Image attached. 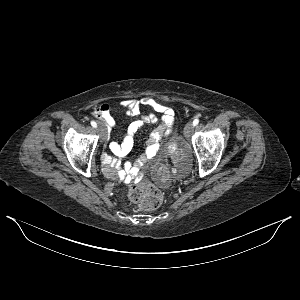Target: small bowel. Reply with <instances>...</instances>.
<instances>
[{"instance_id":"c3829d8e","label":"small bowel","mask_w":300,"mask_h":300,"mask_svg":"<svg viewBox=\"0 0 300 300\" xmlns=\"http://www.w3.org/2000/svg\"><path fill=\"white\" fill-rule=\"evenodd\" d=\"M118 106L126 111L127 114L138 117L141 107L146 106L154 112L139 116L133 120L128 128L126 135L121 143L111 141L109 148L118 158H113L108 154L102 157L103 171L106 176L119 180L122 178L132 179L137 175V168L149 163L159 151V143L164 136L172 130L174 122V111L164 104L151 97L141 99H126L118 103ZM94 114L103 122L107 134L115 127V120L111 114L108 104L98 106ZM146 124H157L151 132L144 152L140 155L134 165L122 163L121 159L126 157L132 150L136 133Z\"/></svg>"}]
</instances>
